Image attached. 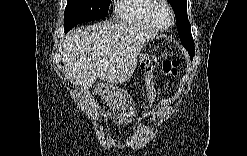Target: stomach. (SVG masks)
<instances>
[{
	"label": "stomach",
	"instance_id": "stomach-1",
	"mask_svg": "<svg viewBox=\"0 0 247 156\" xmlns=\"http://www.w3.org/2000/svg\"><path fill=\"white\" fill-rule=\"evenodd\" d=\"M143 60H144L143 55H140V56H139V62H140V63H142V62H143Z\"/></svg>",
	"mask_w": 247,
	"mask_h": 156
}]
</instances>
